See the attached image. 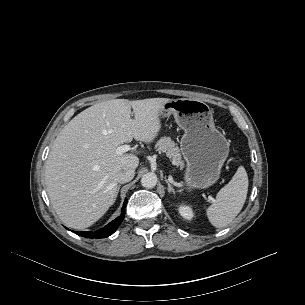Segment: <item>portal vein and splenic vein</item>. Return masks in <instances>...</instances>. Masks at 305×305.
I'll use <instances>...</instances> for the list:
<instances>
[{
    "instance_id": "obj_1",
    "label": "portal vein and splenic vein",
    "mask_w": 305,
    "mask_h": 305,
    "mask_svg": "<svg viewBox=\"0 0 305 305\" xmlns=\"http://www.w3.org/2000/svg\"><path fill=\"white\" fill-rule=\"evenodd\" d=\"M130 150H131L130 145H121V146L117 147L116 152H117V154L121 155ZM209 200H213L212 197H209Z\"/></svg>"
}]
</instances>
